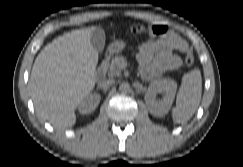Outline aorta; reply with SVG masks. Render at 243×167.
Masks as SVG:
<instances>
[{"mask_svg":"<svg viewBox=\"0 0 243 167\" xmlns=\"http://www.w3.org/2000/svg\"><path fill=\"white\" fill-rule=\"evenodd\" d=\"M130 90V85L128 83H121L119 85V91L120 92H123V93H126Z\"/></svg>","mask_w":243,"mask_h":167,"instance_id":"762f6f07","label":"aorta"}]
</instances>
